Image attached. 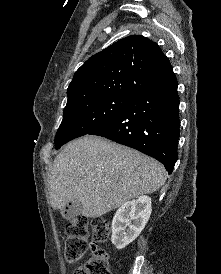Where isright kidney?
I'll list each match as a JSON object with an SVG mask.
<instances>
[{"label":"right kidney","instance_id":"ca27d5eb","mask_svg":"<svg viewBox=\"0 0 221 274\" xmlns=\"http://www.w3.org/2000/svg\"><path fill=\"white\" fill-rule=\"evenodd\" d=\"M151 212V198L148 196L125 202L112 220V244L120 250L133 242L144 229Z\"/></svg>","mask_w":221,"mask_h":274}]
</instances>
